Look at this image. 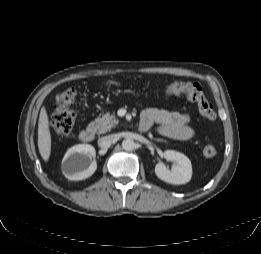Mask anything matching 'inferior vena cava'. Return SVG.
I'll list each match as a JSON object with an SVG mask.
<instances>
[{
    "label": "inferior vena cava",
    "instance_id": "obj_1",
    "mask_svg": "<svg viewBox=\"0 0 261 254\" xmlns=\"http://www.w3.org/2000/svg\"><path fill=\"white\" fill-rule=\"evenodd\" d=\"M114 140H115V135L104 136L98 139V145L103 149H107L111 146Z\"/></svg>",
    "mask_w": 261,
    "mask_h": 254
}]
</instances>
